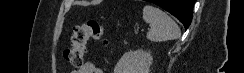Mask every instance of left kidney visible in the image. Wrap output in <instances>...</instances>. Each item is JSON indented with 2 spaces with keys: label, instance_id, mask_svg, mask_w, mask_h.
<instances>
[{
  "label": "left kidney",
  "instance_id": "5707ae66",
  "mask_svg": "<svg viewBox=\"0 0 244 73\" xmlns=\"http://www.w3.org/2000/svg\"><path fill=\"white\" fill-rule=\"evenodd\" d=\"M152 55L143 50L129 51L117 62L114 73H149Z\"/></svg>",
  "mask_w": 244,
  "mask_h": 73
}]
</instances>
